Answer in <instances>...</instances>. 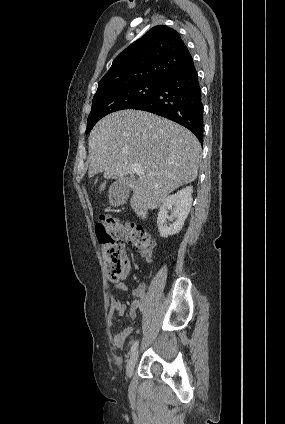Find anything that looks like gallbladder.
Wrapping results in <instances>:
<instances>
[{
    "label": "gallbladder",
    "mask_w": 285,
    "mask_h": 424,
    "mask_svg": "<svg viewBox=\"0 0 285 424\" xmlns=\"http://www.w3.org/2000/svg\"><path fill=\"white\" fill-rule=\"evenodd\" d=\"M129 184H130V181L128 179H118L113 183L112 188H115L116 186H123V185L129 186Z\"/></svg>",
    "instance_id": "bac80fb5"
}]
</instances>
